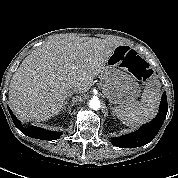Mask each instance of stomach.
Here are the masks:
<instances>
[{"mask_svg":"<svg viewBox=\"0 0 178 178\" xmlns=\"http://www.w3.org/2000/svg\"><path fill=\"white\" fill-rule=\"evenodd\" d=\"M127 52L120 55L114 50L100 75L102 92L111 104L124 106L133 103L140 95V86L128 70Z\"/></svg>","mask_w":178,"mask_h":178,"instance_id":"0dacf381","label":"stomach"}]
</instances>
